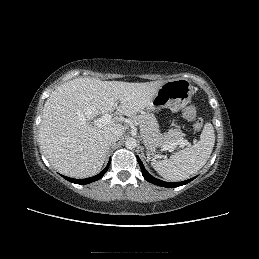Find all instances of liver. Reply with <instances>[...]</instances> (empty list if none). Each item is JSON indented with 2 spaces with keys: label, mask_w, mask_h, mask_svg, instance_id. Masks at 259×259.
Instances as JSON below:
<instances>
[{
  "label": "liver",
  "mask_w": 259,
  "mask_h": 259,
  "mask_svg": "<svg viewBox=\"0 0 259 259\" xmlns=\"http://www.w3.org/2000/svg\"><path fill=\"white\" fill-rule=\"evenodd\" d=\"M163 83L85 77L62 84L50 94L43 109L39 140L45 156L55 169L67 176L96 175L108 152L105 135L113 130L123 133L127 128L121 118L98 123L97 117L115 109L120 115L136 116L150 106Z\"/></svg>",
  "instance_id": "1"
}]
</instances>
